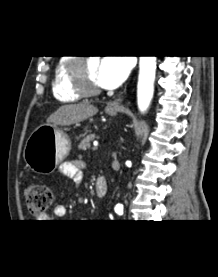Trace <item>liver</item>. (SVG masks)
<instances>
[{
  "label": "liver",
  "instance_id": "6515ba94",
  "mask_svg": "<svg viewBox=\"0 0 218 277\" xmlns=\"http://www.w3.org/2000/svg\"><path fill=\"white\" fill-rule=\"evenodd\" d=\"M97 112L98 108L89 102L63 105L48 117L47 124L69 126L82 122Z\"/></svg>",
  "mask_w": 218,
  "mask_h": 277
}]
</instances>
